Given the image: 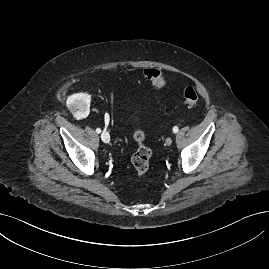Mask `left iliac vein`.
<instances>
[{
	"label": "left iliac vein",
	"instance_id": "4c4485c4",
	"mask_svg": "<svg viewBox=\"0 0 269 269\" xmlns=\"http://www.w3.org/2000/svg\"><path fill=\"white\" fill-rule=\"evenodd\" d=\"M165 144L167 146H170L172 144V139L171 138H167L166 141H165Z\"/></svg>",
	"mask_w": 269,
	"mask_h": 269
}]
</instances>
